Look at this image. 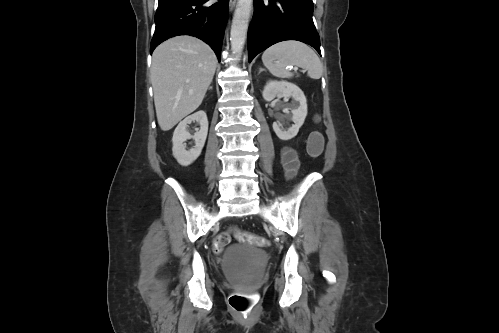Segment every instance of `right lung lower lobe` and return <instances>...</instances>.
<instances>
[{
  "label": "right lung lower lobe",
  "instance_id": "1",
  "mask_svg": "<svg viewBox=\"0 0 499 333\" xmlns=\"http://www.w3.org/2000/svg\"><path fill=\"white\" fill-rule=\"evenodd\" d=\"M209 0H158L150 53L163 41L191 35L206 42L220 61L229 0L206 5Z\"/></svg>",
  "mask_w": 499,
  "mask_h": 333
}]
</instances>
